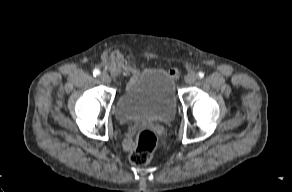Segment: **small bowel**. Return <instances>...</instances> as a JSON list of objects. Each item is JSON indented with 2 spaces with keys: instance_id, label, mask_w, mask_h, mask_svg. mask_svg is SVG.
<instances>
[{
  "instance_id": "c3829d8e",
  "label": "small bowel",
  "mask_w": 292,
  "mask_h": 192,
  "mask_svg": "<svg viewBox=\"0 0 292 192\" xmlns=\"http://www.w3.org/2000/svg\"><path fill=\"white\" fill-rule=\"evenodd\" d=\"M170 74H171V76H176L177 71H176V70H171V71H170ZM162 143H163L164 145H167V144L169 143V140H168L167 138H164V139L162 140ZM152 145H153L154 147H157V146L159 145V142H158L157 140H154V141L152 142ZM123 146H124L125 149L130 150V149L133 148L134 143H133L132 140L127 139V140L124 141ZM154 153H155L156 155H159V154L161 153V150H160L159 148H156V149L154 150Z\"/></svg>"
}]
</instances>
